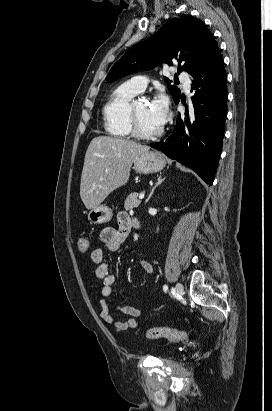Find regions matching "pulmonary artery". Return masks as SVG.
Wrapping results in <instances>:
<instances>
[{
  "label": "pulmonary artery",
  "instance_id": "pulmonary-artery-1",
  "mask_svg": "<svg viewBox=\"0 0 272 411\" xmlns=\"http://www.w3.org/2000/svg\"><path fill=\"white\" fill-rule=\"evenodd\" d=\"M179 78L185 83L186 90H189V74L187 71H181L179 73ZM130 85L137 91H143L148 85V79L143 76H134L129 81Z\"/></svg>",
  "mask_w": 272,
  "mask_h": 411
}]
</instances>
